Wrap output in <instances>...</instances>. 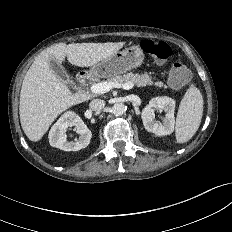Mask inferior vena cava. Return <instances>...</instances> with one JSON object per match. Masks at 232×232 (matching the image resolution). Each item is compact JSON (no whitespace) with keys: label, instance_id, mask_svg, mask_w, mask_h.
Listing matches in <instances>:
<instances>
[{"label":"inferior vena cava","instance_id":"1","mask_svg":"<svg viewBox=\"0 0 232 232\" xmlns=\"http://www.w3.org/2000/svg\"><path fill=\"white\" fill-rule=\"evenodd\" d=\"M89 107L93 111H101L105 107V101L101 99H94L90 102Z\"/></svg>","mask_w":232,"mask_h":232}]
</instances>
